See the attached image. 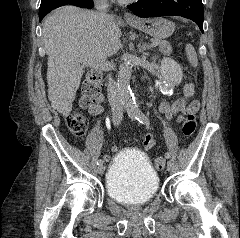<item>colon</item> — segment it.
<instances>
[{"label":"colon","mask_w":240,"mask_h":238,"mask_svg":"<svg viewBox=\"0 0 240 238\" xmlns=\"http://www.w3.org/2000/svg\"><path fill=\"white\" fill-rule=\"evenodd\" d=\"M102 86V74L98 71L91 72L85 79L83 85V95L81 105L89 108L99 96ZM195 92V85L192 80H188L183 93L187 98H191ZM66 125L70 132L75 136H83L88 127L87 118L79 111H74L66 117ZM196 130V118L193 114L185 117L182 125V132L185 136H191ZM156 169L162 170L165 167V159L159 157L155 160Z\"/></svg>","instance_id":"1"}]
</instances>
